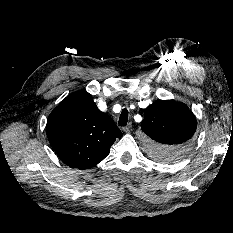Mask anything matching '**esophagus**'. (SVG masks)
<instances>
[{
    "label": "esophagus",
    "instance_id": "34e87169",
    "mask_svg": "<svg viewBox=\"0 0 233 233\" xmlns=\"http://www.w3.org/2000/svg\"><path fill=\"white\" fill-rule=\"evenodd\" d=\"M131 129H132V125H131V123H129L127 126L123 127L122 130L125 133H129L131 131Z\"/></svg>",
    "mask_w": 233,
    "mask_h": 233
}]
</instances>
